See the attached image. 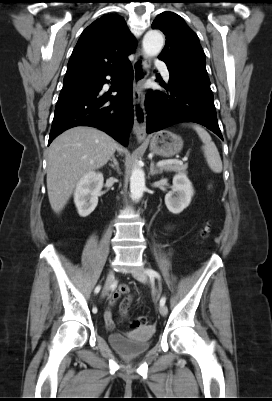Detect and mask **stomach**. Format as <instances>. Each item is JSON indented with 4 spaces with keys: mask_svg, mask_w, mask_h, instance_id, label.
Here are the masks:
<instances>
[{
    "mask_svg": "<svg viewBox=\"0 0 272 401\" xmlns=\"http://www.w3.org/2000/svg\"><path fill=\"white\" fill-rule=\"evenodd\" d=\"M182 148V138L169 130H161L151 136L150 150L160 156L172 157Z\"/></svg>",
    "mask_w": 272,
    "mask_h": 401,
    "instance_id": "obj_1",
    "label": "stomach"
}]
</instances>
